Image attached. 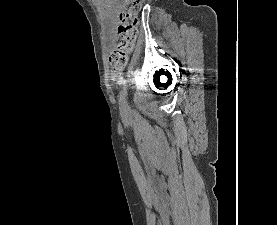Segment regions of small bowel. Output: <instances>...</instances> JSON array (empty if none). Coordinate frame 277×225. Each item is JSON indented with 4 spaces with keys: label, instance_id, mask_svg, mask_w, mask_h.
I'll list each match as a JSON object with an SVG mask.
<instances>
[{
    "label": "small bowel",
    "instance_id": "c3829d8e",
    "mask_svg": "<svg viewBox=\"0 0 277 225\" xmlns=\"http://www.w3.org/2000/svg\"><path fill=\"white\" fill-rule=\"evenodd\" d=\"M120 8H121L120 5L110 6V9H109V12H108V17L111 18V19L117 18V16L119 15Z\"/></svg>",
    "mask_w": 277,
    "mask_h": 225
}]
</instances>
